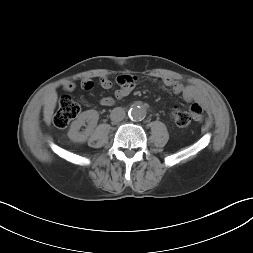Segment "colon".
<instances>
[{"label": "colon", "mask_w": 253, "mask_h": 253, "mask_svg": "<svg viewBox=\"0 0 253 253\" xmlns=\"http://www.w3.org/2000/svg\"><path fill=\"white\" fill-rule=\"evenodd\" d=\"M79 113V104L71 97L63 96L59 101L58 109L53 117V123L57 128H65ZM170 118L179 127L190 125L192 120L191 115L179 107L172 108Z\"/></svg>", "instance_id": "colon-1"}]
</instances>
